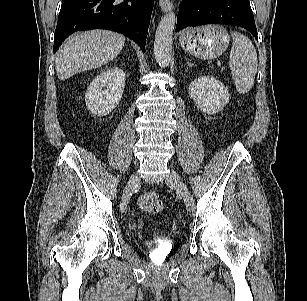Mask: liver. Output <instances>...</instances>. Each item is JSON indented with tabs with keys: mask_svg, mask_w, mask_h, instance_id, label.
Listing matches in <instances>:
<instances>
[{
	"mask_svg": "<svg viewBox=\"0 0 307 301\" xmlns=\"http://www.w3.org/2000/svg\"><path fill=\"white\" fill-rule=\"evenodd\" d=\"M125 37L107 30H90L70 36L59 48L55 58L58 78L98 68L113 60L122 50Z\"/></svg>",
	"mask_w": 307,
	"mask_h": 301,
	"instance_id": "6515ba94",
	"label": "liver"
}]
</instances>
